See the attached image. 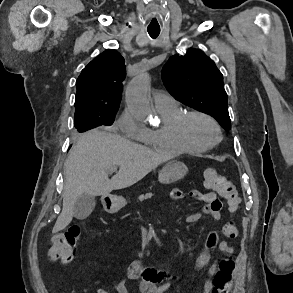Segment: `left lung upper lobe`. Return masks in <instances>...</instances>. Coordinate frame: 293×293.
Returning <instances> with one entry per match:
<instances>
[{"label":"left lung upper lobe","instance_id":"obj_1","mask_svg":"<svg viewBox=\"0 0 293 293\" xmlns=\"http://www.w3.org/2000/svg\"><path fill=\"white\" fill-rule=\"evenodd\" d=\"M162 79L180 102L211 115L226 130L231 128L223 75L204 52L190 49L184 56L170 57Z\"/></svg>","mask_w":293,"mask_h":293}]
</instances>
